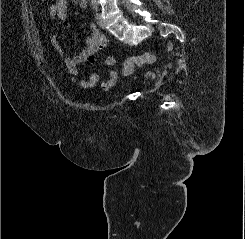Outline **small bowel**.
<instances>
[{
	"label": "small bowel",
	"mask_w": 245,
	"mask_h": 239,
	"mask_svg": "<svg viewBox=\"0 0 245 239\" xmlns=\"http://www.w3.org/2000/svg\"><path fill=\"white\" fill-rule=\"evenodd\" d=\"M80 8L85 9L87 0H80ZM67 0H55L49 7V13L54 20L63 21L66 17ZM108 39L102 34L95 24L90 25V35L85 40L81 50L75 52L71 57L64 60V68L69 74L71 80L78 84L82 89H92L99 86L103 91L111 90L119 80V72L111 70L106 79L99 83V75L93 73L88 79H82L78 70V65L89 62L95 66H118V61L112 56L105 57L102 60L97 59V54L108 45ZM54 47L57 52L62 50L55 40Z\"/></svg>",
	"instance_id": "small-bowel-1"
}]
</instances>
